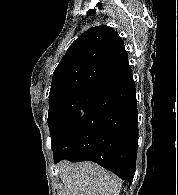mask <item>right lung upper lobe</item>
<instances>
[{
	"mask_svg": "<svg viewBox=\"0 0 178 195\" xmlns=\"http://www.w3.org/2000/svg\"><path fill=\"white\" fill-rule=\"evenodd\" d=\"M132 77L128 55L115 30L109 26L90 28L68 48L56 67L49 99L69 93H99Z\"/></svg>",
	"mask_w": 178,
	"mask_h": 195,
	"instance_id": "right-lung-upper-lobe-1",
	"label": "right lung upper lobe"
}]
</instances>
